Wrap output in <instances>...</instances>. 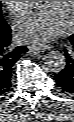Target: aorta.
I'll return each mask as SVG.
<instances>
[{
    "label": "aorta",
    "instance_id": "aorta-1",
    "mask_svg": "<svg viewBox=\"0 0 74 122\" xmlns=\"http://www.w3.org/2000/svg\"><path fill=\"white\" fill-rule=\"evenodd\" d=\"M43 64L47 71L58 73L65 68L66 57L62 52L52 50L44 55Z\"/></svg>",
    "mask_w": 74,
    "mask_h": 122
}]
</instances>
